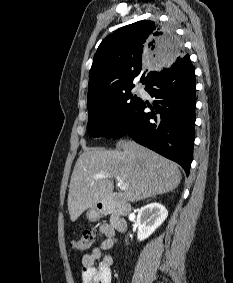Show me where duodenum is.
Masks as SVG:
<instances>
[{"label":"duodenum","mask_w":233,"mask_h":283,"mask_svg":"<svg viewBox=\"0 0 233 283\" xmlns=\"http://www.w3.org/2000/svg\"><path fill=\"white\" fill-rule=\"evenodd\" d=\"M129 211L128 203L118 194L110 196L99 204V212L101 214L110 215V227L113 231L125 230L127 226L125 216Z\"/></svg>","instance_id":"1"}]
</instances>
